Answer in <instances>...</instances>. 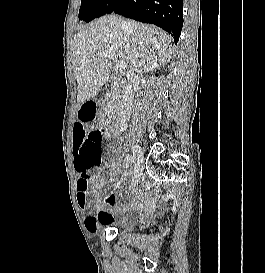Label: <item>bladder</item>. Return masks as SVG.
<instances>
[{
  "label": "bladder",
  "instance_id": "31cf9c89",
  "mask_svg": "<svg viewBox=\"0 0 265 273\" xmlns=\"http://www.w3.org/2000/svg\"><path fill=\"white\" fill-rule=\"evenodd\" d=\"M139 224V220L135 216H125L118 219L112 225L120 232H132Z\"/></svg>",
  "mask_w": 265,
  "mask_h": 273
}]
</instances>
